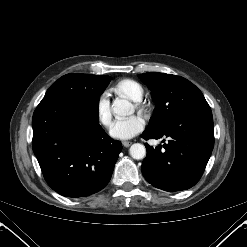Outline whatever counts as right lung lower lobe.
<instances>
[{
	"label": "right lung lower lobe",
	"instance_id": "right-lung-lower-lobe-1",
	"mask_svg": "<svg viewBox=\"0 0 247 247\" xmlns=\"http://www.w3.org/2000/svg\"><path fill=\"white\" fill-rule=\"evenodd\" d=\"M32 125L33 151L54 191L84 197L108 184L122 144L99 125V108L63 98L42 99Z\"/></svg>",
	"mask_w": 247,
	"mask_h": 247
}]
</instances>
